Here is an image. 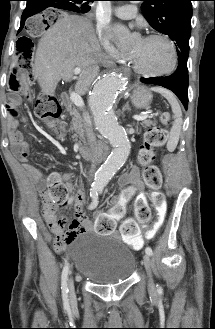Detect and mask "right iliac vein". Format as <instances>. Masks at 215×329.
I'll use <instances>...</instances> for the list:
<instances>
[{"label":"right iliac vein","instance_id":"1","mask_svg":"<svg viewBox=\"0 0 215 329\" xmlns=\"http://www.w3.org/2000/svg\"><path fill=\"white\" fill-rule=\"evenodd\" d=\"M68 289H69V299L73 303L75 301V288L73 278L70 277L68 280Z\"/></svg>","mask_w":215,"mask_h":329}]
</instances>
